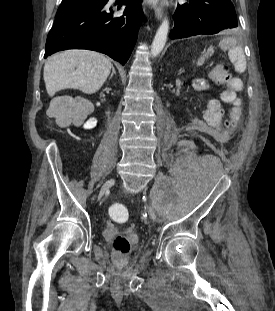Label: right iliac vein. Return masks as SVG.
I'll return each instance as SVG.
<instances>
[{
  "mask_svg": "<svg viewBox=\"0 0 275 311\" xmlns=\"http://www.w3.org/2000/svg\"><path fill=\"white\" fill-rule=\"evenodd\" d=\"M114 182H115V179H114V178H110V179H108V180H106V181L104 182V184L102 185V187H101V189H100V191H99L98 199H101V198H102V196L105 194V192H106L110 187L113 186Z\"/></svg>",
  "mask_w": 275,
  "mask_h": 311,
  "instance_id": "right-iliac-vein-1",
  "label": "right iliac vein"
}]
</instances>
